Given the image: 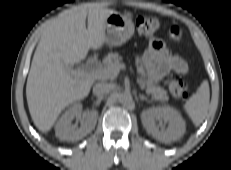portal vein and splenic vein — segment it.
Here are the masks:
<instances>
[{
	"instance_id": "1",
	"label": "portal vein and splenic vein",
	"mask_w": 231,
	"mask_h": 170,
	"mask_svg": "<svg viewBox=\"0 0 231 170\" xmlns=\"http://www.w3.org/2000/svg\"><path fill=\"white\" fill-rule=\"evenodd\" d=\"M126 65L125 64H120L116 67H110L108 69L100 68L91 73V75L97 79H113L115 78L120 70L125 69ZM68 72L72 75H84L87 74L86 71L84 70H75L71 67L68 68Z\"/></svg>"
}]
</instances>
